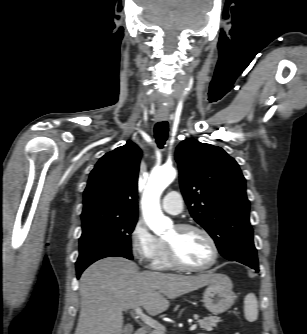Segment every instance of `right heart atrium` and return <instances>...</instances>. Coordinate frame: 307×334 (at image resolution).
<instances>
[{
	"label": "right heart atrium",
	"mask_w": 307,
	"mask_h": 334,
	"mask_svg": "<svg viewBox=\"0 0 307 334\" xmlns=\"http://www.w3.org/2000/svg\"><path fill=\"white\" fill-rule=\"evenodd\" d=\"M130 251L141 264L152 261L160 247L157 239L142 219H137L129 233Z\"/></svg>",
	"instance_id": "1"
}]
</instances>
